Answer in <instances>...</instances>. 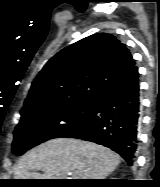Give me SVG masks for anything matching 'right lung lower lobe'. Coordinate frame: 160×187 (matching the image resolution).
<instances>
[{
  "mask_svg": "<svg viewBox=\"0 0 160 187\" xmlns=\"http://www.w3.org/2000/svg\"><path fill=\"white\" fill-rule=\"evenodd\" d=\"M139 122V74L134 66L98 98L93 114L63 137L106 146L132 166L138 147Z\"/></svg>",
  "mask_w": 160,
  "mask_h": 187,
  "instance_id": "1",
  "label": "right lung lower lobe"
}]
</instances>
